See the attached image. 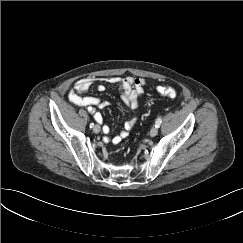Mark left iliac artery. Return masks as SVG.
<instances>
[{
	"label": "left iliac artery",
	"instance_id": "obj_1",
	"mask_svg": "<svg viewBox=\"0 0 243 243\" xmlns=\"http://www.w3.org/2000/svg\"><path fill=\"white\" fill-rule=\"evenodd\" d=\"M161 123H162V118H161V117H158V118L156 119V122H155V127L159 128L160 125H161Z\"/></svg>",
	"mask_w": 243,
	"mask_h": 243
}]
</instances>
